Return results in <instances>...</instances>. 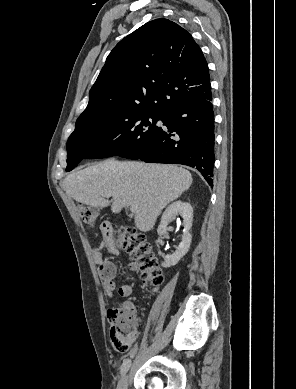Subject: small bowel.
<instances>
[{"mask_svg":"<svg viewBox=\"0 0 296 389\" xmlns=\"http://www.w3.org/2000/svg\"><path fill=\"white\" fill-rule=\"evenodd\" d=\"M100 230L103 235V240L97 248L93 251V260L98 266L99 275L103 280L104 290L108 296L112 297L117 289V270L115 265L109 261L105 255H115L117 249L113 243L112 230L107 222H103L100 225ZM128 269L131 272H137L139 265L136 262H130ZM133 292V286L131 284H122L118 287V293L122 297H128ZM132 304L128 301L124 302L122 307H130Z\"/></svg>","mask_w":296,"mask_h":389,"instance_id":"small-bowel-1","label":"small bowel"}]
</instances>
